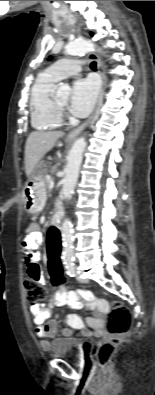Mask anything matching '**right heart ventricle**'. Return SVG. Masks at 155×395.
<instances>
[{"mask_svg":"<svg viewBox=\"0 0 155 395\" xmlns=\"http://www.w3.org/2000/svg\"><path fill=\"white\" fill-rule=\"evenodd\" d=\"M58 80L47 72L36 78L30 92L31 125L36 130H52L61 125V119L52 106V93Z\"/></svg>","mask_w":155,"mask_h":395,"instance_id":"right-heart-ventricle-1","label":"right heart ventricle"}]
</instances>
